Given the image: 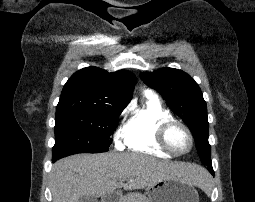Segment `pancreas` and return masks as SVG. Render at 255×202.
<instances>
[{"label":"pancreas","mask_w":255,"mask_h":202,"mask_svg":"<svg viewBox=\"0 0 255 202\" xmlns=\"http://www.w3.org/2000/svg\"><path fill=\"white\" fill-rule=\"evenodd\" d=\"M123 202H149L147 197L139 192H130L123 197Z\"/></svg>","instance_id":"1"}]
</instances>
